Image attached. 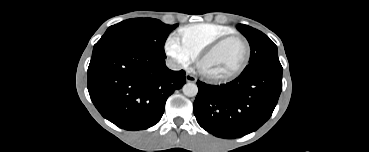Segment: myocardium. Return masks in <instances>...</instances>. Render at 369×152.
<instances>
[{
    "instance_id": "1",
    "label": "myocardium",
    "mask_w": 369,
    "mask_h": 152,
    "mask_svg": "<svg viewBox=\"0 0 369 152\" xmlns=\"http://www.w3.org/2000/svg\"><path fill=\"white\" fill-rule=\"evenodd\" d=\"M233 39L241 40L244 44V47H245V56H244V59H243L241 65L234 72H232L228 75H224V76L211 75V74L205 72L202 68L203 62L210 55L215 53L220 47H222L226 42H228L230 40H233ZM250 57H251V47H250V44H249L248 40L240 34L233 33V34L222 36V37L218 38L217 40H215L214 42H212L211 44H209L200 53L198 63H197V67H198V70L201 73V75L204 78H206L207 80H209L211 82H214V83H224V82H229V81L237 78L240 74H242L243 71L246 69V67L249 64Z\"/></svg>"
}]
</instances>
